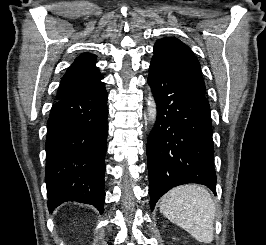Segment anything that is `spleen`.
I'll return each instance as SVG.
<instances>
[{
    "label": "spleen",
    "instance_id": "1",
    "mask_svg": "<svg viewBox=\"0 0 266 245\" xmlns=\"http://www.w3.org/2000/svg\"><path fill=\"white\" fill-rule=\"evenodd\" d=\"M160 213L199 243H212L216 209L204 187L184 185L171 189L160 201Z\"/></svg>",
    "mask_w": 266,
    "mask_h": 245
}]
</instances>
